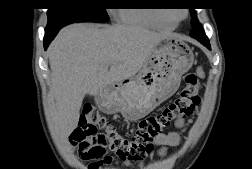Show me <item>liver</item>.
<instances>
[{
	"instance_id": "1",
	"label": "liver",
	"mask_w": 252,
	"mask_h": 169,
	"mask_svg": "<svg viewBox=\"0 0 252 169\" xmlns=\"http://www.w3.org/2000/svg\"><path fill=\"white\" fill-rule=\"evenodd\" d=\"M170 36L175 35L127 25L64 27L48 49L57 135L67 140L76 128L86 94L96 96L112 84L134 77L157 44Z\"/></svg>"
}]
</instances>
